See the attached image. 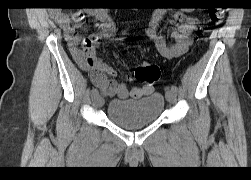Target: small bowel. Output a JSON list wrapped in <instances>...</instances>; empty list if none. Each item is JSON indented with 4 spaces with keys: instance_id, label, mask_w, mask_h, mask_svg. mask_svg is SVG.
<instances>
[{
    "instance_id": "small-bowel-1",
    "label": "small bowel",
    "mask_w": 251,
    "mask_h": 180,
    "mask_svg": "<svg viewBox=\"0 0 251 180\" xmlns=\"http://www.w3.org/2000/svg\"><path fill=\"white\" fill-rule=\"evenodd\" d=\"M170 13L173 23L177 28L173 31L172 42L158 32V27L163 18ZM85 15L95 20V31L88 37L80 39L72 25L80 21ZM56 21L62 28L70 53L76 63L90 72L92 83L106 96H117L120 99L132 97L139 99L150 95L154 87L150 85L128 87L119 83L114 77L116 71L96 56V47L105 38L111 37L115 32L114 22L106 10L87 9L71 14L59 13ZM199 20L187 16L180 11H169L161 8L154 12L150 21L147 34L154 41L159 53L168 59L176 58L185 53L191 43V34L197 28Z\"/></svg>"
}]
</instances>
